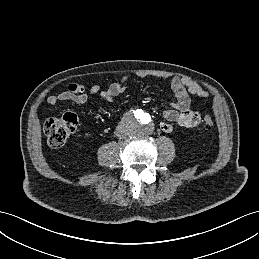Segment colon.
<instances>
[{"label":"colon","mask_w":259,"mask_h":259,"mask_svg":"<svg viewBox=\"0 0 259 259\" xmlns=\"http://www.w3.org/2000/svg\"><path fill=\"white\" fill-rule=\"evenodd\" d=\"M77 124V118L72 113L48 119L44 125V133L48 144L53 148L63 146L67 139L75 132ZM203 124L205 128L211 129L214 126L213 117L206 115L203 119Z\"/></svg>","instance_id":"1"}]
</instances>
